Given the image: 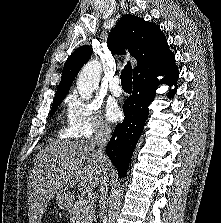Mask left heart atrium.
I'll return each instance as SVG.
<instances>
[{"instance_id":"left-heart-atrium-1","label":"left heart atrium","mask_w":221,"mask_h":223,"mask_svg":"<svg viewBox=\"0 0 221 223\" xmlns=\"http://www.w3.org/2000/svg\"><path fill=\"white\" fill-rule=\"evenodd\" d=\"M106 117L111 122H117L122 117V111L117 103L110 101L106 105Z\"/></svg>"}]
</instances>
